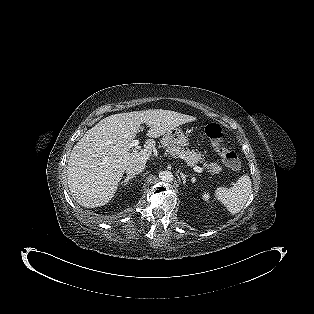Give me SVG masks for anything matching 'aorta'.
Returning a JSON list of instances; mask_svg holds the SVG:
<instances>
[{"label": "aorta", "instance_id": "aorta-1", "mask_svg": "<svg viewBox=\"0 0 314 314\" xmlns=\"http://www.w3.org/2000/svg\"><path fill=\"white\" fill-rule=\"evenodd\" d=\"M159 177H160L161 181H163V182H172L174 176H173L172 172H170V171H162L159 174Z\"/></svg>", "mask_w": 314, "mask_h": 314}]
</instances>
